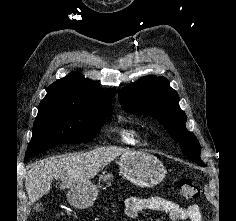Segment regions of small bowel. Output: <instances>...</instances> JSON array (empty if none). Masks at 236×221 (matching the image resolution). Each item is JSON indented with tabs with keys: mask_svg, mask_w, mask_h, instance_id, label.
<instances>
[{
	"mask_svg": "<svg viewBox=\"0 0 236 221\" xmlns=\"http://www.w3.org/2000/svg\"><path fill=\"white\" fill-rule=\"evenodd\" d=\"M146 211L167 213L171 221H202L201 209L198 204L182 207L171 200L158 196L127 198L123 221L139 219L140 215Z\"/></svg>",
	"mask_w": 236,
	"mask_h": 221,
	"instance_id": "small-bowel-1",
	"label": "small bowel"
}]
</instances>
